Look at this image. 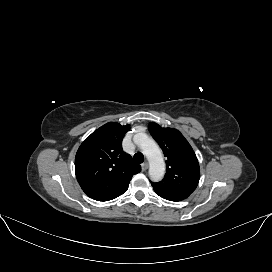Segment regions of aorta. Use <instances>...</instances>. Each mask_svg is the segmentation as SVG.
<instances>
[{
  "instance_id": "aorta-1",
  "label": "aorta",
  "mask_w": 272,
  "mask_h": 272,
  "mask_svg": "<svg viewBox=\"0 0 272 272\" xmlns=\"http://www.w3.org/2000/svg\"><path fill=\"white\" fill-rule=\"evenodd\" d=\"M135 142L140 146L143 154L149 161L150 179L155 182L160 181L165 174V163L159 146L154 140L143 133H139L135 136Z\"/></svg>"
}]
</instances>
